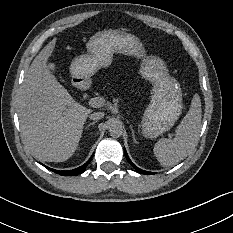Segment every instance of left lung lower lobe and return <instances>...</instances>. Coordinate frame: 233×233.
I'll return each mask as SVG.
<instances>
[{"mask_svg": "<svg viewBox=\"0 0 233 233\" xmlns=\"http://www.w3.org/2000/svg\"><path fill=\"white\" fill-rule=\"evenodd\" d=\"M124 152H125V156H126L128 162H129L138 172L143 173V174H147V175L155 174V173H152V172H147V171L141 170V169H139L138 167H136V166L131 162V160H130V158L128 157V154H127V152H126L125 149H124Z\"/></svg>", "mask_w": 233, "mask_h": 233, "instance_id": "obj_1", "label": "left lung lower lobe"}]
</instances>
